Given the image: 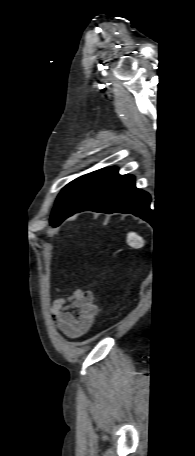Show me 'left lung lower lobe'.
Segmentation results:
<instances>
[{
  "mask_svg": "<svg viewBox=\"0 0 195 456\" xmlns=\"http://www.w3.org/2000/svg\"><path fill=\"white\" fill-rule=\"evenodd\" d=\"M149 206V194L135 187L132 175H120L116 168L103 187L75 213L86 210L131 213L147 220L151 214Z\"/></svg>",
  "mask_w": 195,
  "mask_h": 456,
  "instance_id": "obj_1",
  "label": "left lung lower lobe"
}]
</instances>
